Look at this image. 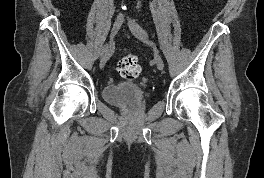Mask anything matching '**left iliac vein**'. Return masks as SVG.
I'll return each instance as SVG.
<instances>
[{
	"label": "left iliac vein",
	"instance_id": "left-iliac-vein-1",
	"mask_svg": "<svg viewBox=\"0 0 264 178\" xmlns=\"http://www.w3.org/2000/svg\"><path fill=\"white\" fill-rule=\"evenodd\" d=\"M128 26H129L130 30L132 31V33L134 34V36L137 39H139L143 43H148V35H147L146 31L144 29H142L136 23L135 20L129 19L128 20ZM155 63H156V66H157L158 70H163L164 69V61L160 57V55H158L157 53L155 54Z\"/></svg>",
	"mask_w": 264,
	"mask_h": 178
}]
</instances>
